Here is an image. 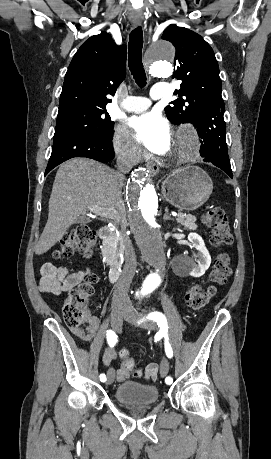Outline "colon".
<instances>
[{"label": "colon", "mask_w": 271, "mask_h": 459, "mask_svg": "<svg viewBox=\"0 0 271 459\" xmlns=\"http://www.w3.org/2000/svg\"><path fill=\"white\" fill-rule=\"evenodd\" d=\"M203 224L210 229V242L217 248L227 247L232 244L233 236L226 212L222 208L209 209L202 217ZM97 240L96 230L80 225L64 235L60 246L54 252V257L66 258L79 251L89 256ZM232 273L231 259L226 253H219L215 258L212 270L209 274V282L223 285ZM97 277L93 273L85 276L84 280L72 288L67 295L63 315L65 323L69 327H77L88 317V300L94 293V285ZM215 286L202 289L199 285L190 287L185 295L187 305L192 309L204 307L215 295ZM121 366L124 371L135 376L140 372L136 368L135 361L126 350L121 352Z\"/></svg>", "instance_id": "colon-1"}]
</instances>
